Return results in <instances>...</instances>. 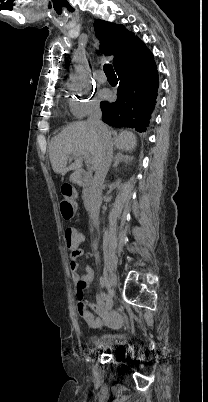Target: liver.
Here are the masks:
<instances>
[{
  "mask_svg": "<svg viewBox=\"0 0 208 402\" xmlns=\"http://www.w3.org/2000/svg\"><path fill=\"white\" fill-rule=\"evenodd\" d=\"M106 128V126H105ZM108 134L90 126L87 122H74L64 128L58 136L52 138L49 146V158L55 174L64 176L68 170H81L83 164L81 160H76L69 168L67 160L71 154L81 156V154H91L92 164H96L97 156L102 148L103 138H111V134L116 136L114 144L119 150H134L136 146V136L132 132H121L117 136L116 132Z\"/></svg>",
  "mask_w": 208,
  "mask_h": 402,
  "instance_id": "6515ba94",
  "label": "liver"
}]
</instances>
